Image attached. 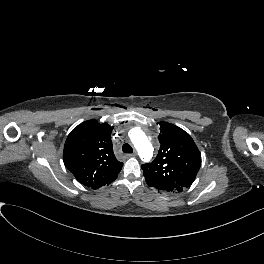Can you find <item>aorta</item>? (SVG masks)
Masks as SVG:
<instances>
[{"instance_id":"aorta-1","label":"aorta","mask_w":264,"mask_h":264,"mask_svg":"<svg viewBox=\"0 0 264 264\" xmlns=\"http://www.w3.org/2000/svg\"><path fill=\"white\" fill-rule=\"evenodd\" d=\"M132 141L137 148L139 155L142 159L148 160L152 157L153 149L150 141L146 137V135L138 130L132 138Z\"/></svg>"}]
</instances>
